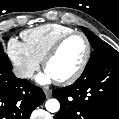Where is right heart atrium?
<instances>
[{
    "mask_svg": "<svg viewBox=\"0 0 119 119\" xmlns=\"http://www.w3.org/2000/svg\"><path fill=\"white\" fill-rule=\"evenodd\" d=\"M7 53L16 74L23 79L32 78L40 67V61L30 52L27 45L16 38L9 40Z\"/></svg>",
    "mask_w": 119,
    "mask_h": 119,
    "instance_id": "right-heart-atrium-1",
    "label": "right heart atrium"
}]
</instances>
